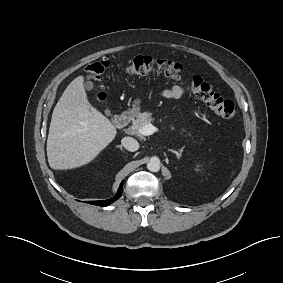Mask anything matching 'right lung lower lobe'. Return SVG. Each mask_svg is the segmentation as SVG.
I'll return each mask as SVG.
<instances>
[{
  "instance_id": "right-lung-lower-lobe-1",
  "label": "right lung lower lobe",
  "mask_w": 283,
  "mask_h": 283,
  "mask_svg": "<svg viewBox=\"0 0 283 283\" xmlns=\"http://www.w3.org/2000/svg\"><path fill=\"white\" fill-rule=\"evenodd\" d=\"M122 187H123V182L120 184V187L118 189V193L116 194V196L111 198V199L101 200V201H87V203L93 204V205H98V206H107V205L113 203L114 201H116L117 199H119L121 197Z\"/></svg>"
}]
</instances>
